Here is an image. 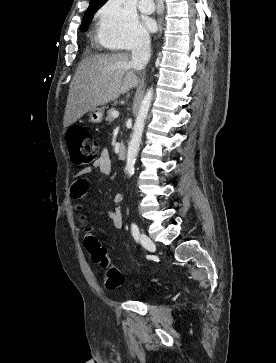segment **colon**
Segmentation results:
<instances>
[{"label": "colon", "mask_w": 276, "mask_h": 363, "mask_svg": "<svg viewBox=\"0 0 276 363\" xmlns=\"http://www.w3.org/2000/svg\"><path fill=\"white\" fill-rule=\"evenodd\" d=\"M66 143L70 158L76 166L88 165L98 159V142L86 128L79 126L69 128L66 133ZM84 246L91 261L106 270L104 275L105 287L114 290L122 286L125 278L122 272L111 264L107 251L101 246L98 238L94 234L86 235Z\"/></svg>", "instance_id": "1"}]
</instances>
